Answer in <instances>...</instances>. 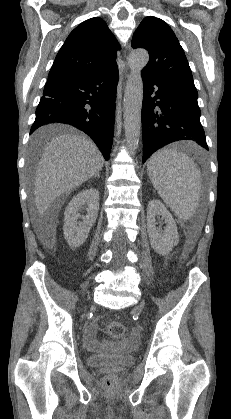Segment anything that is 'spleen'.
Wrapping results in <instances>:
<instances>
[{
  "label": "spleen",
  "mask_w": 231,
  "mask_h": 419,
  "mask_svg": "<svg viewBox=\"0 0 231 419\" xmlns=\"http://www.w3.org/2000/svg\"><path fill=\"white\" fill-rule=\"evenodd\" d=\"M148 176L165 204L183 220L199 205L201 174L194 161L175 149L164 148L151 156Z\"/></svg>",
  "instance_id": "1"
}]
</instances>
